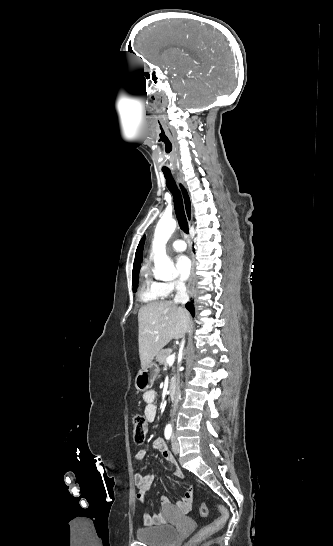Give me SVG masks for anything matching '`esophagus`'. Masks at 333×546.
<instances>
[{"label": "esophagus", "mask_w": 333, "mask_h": 546, "mask_svg": "<svg viewBox=\"0 0 333 546\" xmlns=\"http://www.w3.org/2000/svg\"><path fill=\"white\" fill-rule=\"evenodd\" d=\"M176 181H177L178 188H179V190L181 192V195H182V198H183L185 213L187 215V218L189 219L190 214L192 212V205H191V199H190L189 192H188V190L186 188V185L183 182L182 178L177 176ZM194 264H195V261L193 260V269H192V273H191L189 283H188V290H189V293H191V294L194 291V285H195V280H196L195 271H194Z\"/></svg>", "instance_id": "obj_1"}]
</instances>
